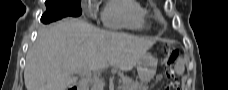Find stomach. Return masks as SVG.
<instances>
[{"instance_id": "0dacf381", "label": "stomach", "mask_w": 228, "mask_h": 90, "mask_svg": "<svg viewBox=\"0 0 228 90\" xmlns=\"http://www.w3.org/2000/svg\"><path fill=\"white\" fill-rule=\"evenodd\" d=\"M157 69V59L146 53L137 63V72L142 82H149L155 75Z\"/></svg>"}]
</instances>
